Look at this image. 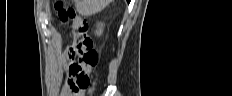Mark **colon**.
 I'll list each match as a JSON object with an SVG mask.
<instances>
[{"mask_svg": "<svg viewBox=\"0 0 232 96\" xmlns=\"http://www.w3.org/2000/svg\"><path fill=\"white\" fill-rule=\"evenodd\" d=\"M59 19L62 22H70L73 32V43L69 51L71 63L69 73L76 77V95H84L85 90L90 86V74L85 69L94 68L98 65L99 54L91 38L88 37L87 21L77 15L71 7H66L62 1L56 3Z\"/></svg>", "mask_w": 232, "mask_h": 96, "instance_id": "obj_1", "label": "colon"}]
</instances>
